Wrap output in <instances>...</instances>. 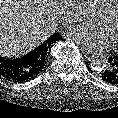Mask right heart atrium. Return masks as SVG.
<instances>
[{"instance_id": "d8ad5b80", "label": "right heart atrium", "mask_w": 118, "mask_h": 118, "mask_svg": "<svg viewBox=\"0 0 118 118\" xmlns=\"http://www.w3.org/2000/svg\"><path fill=\"white\" fill-rule=\"evenodd\" d=\"M83 0H63L60 19L65 26H71L82 20Z\"/></svg>"}]
</instances>
